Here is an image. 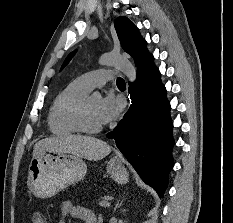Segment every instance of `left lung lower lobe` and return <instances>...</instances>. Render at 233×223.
<instances>
[{"label":"left lung lower lobe","mask_w":233,"mask_h":223,"mask_svg":"<svg viewBox=\"0 0 233 223\" xmlns=\"http://www.w3.org/2000/svg\"><path fill=\"white\" fill-rule=\"evenodd\" d=\"M137 80L129 83L132 105L118 126L107 134L145 183L160 197L173 167L172 121L166 89L153 56L145 48L135 61Z\"/></svg>","instance_id":"0a47b994"}]
</instances>
